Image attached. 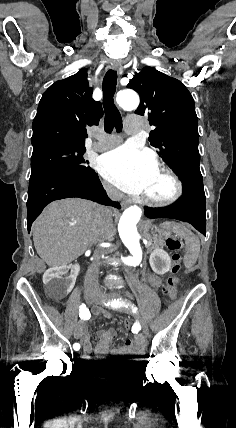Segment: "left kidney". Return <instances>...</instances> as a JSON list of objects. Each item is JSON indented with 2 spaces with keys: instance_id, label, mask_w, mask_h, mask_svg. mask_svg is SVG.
<instances>
[{
  "instance_id": "obj_1",
  "label": "left kidney",
  "mask_w": 236,
  "mask_h": 428,
  "mask_svg": "<svg viewBox=\"0 0 236 428\" xmlns=\"http://www.w3.org/2000/svg\"><path fill=\"white\" fill-rule=\"evenodd\" d=\"M150 266L155 274H166L171 268L170 256L165 250L156 248L149 258Z\"/></svg>"
}]
</instances>
